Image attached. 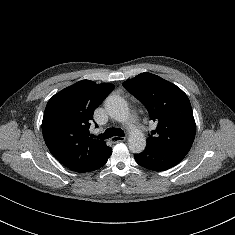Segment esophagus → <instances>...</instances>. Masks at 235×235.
I'll return each instance as SVG.
<instances>
[{"instance_id":"esophagus-1","label":"esophagus","mask_w":235,"mask_h":235,"mask_svg":"<svg viewBox=\"0 0 235 235\" xmlns=\"http://www.w3.org/2000/svg\"><path fill=\"white\" fill-rule=\"evenodd\" d=\"M122 141H125V137L114 136L111 138L112 143H118V142H122Z\"/></svg>"}]
</instances>
